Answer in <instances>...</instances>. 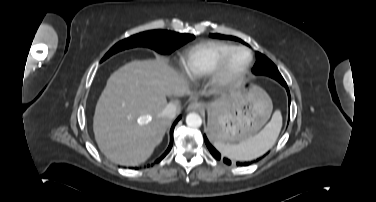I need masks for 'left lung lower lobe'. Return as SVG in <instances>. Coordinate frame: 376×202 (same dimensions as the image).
Masks as SVG:
<instances>
[{"label": "left lung lower lobe", "mask_w": 376, "mask_h": 202, "mask_svg": "<svg viewBox=\"0 0 376 202\" xmlns=\"http://www.w3.org/2000/svg\"><path fill=\"white\" fill-rule=\"evenodd\" d=\"M285 88H286V90H287V93H288V97H289V106H290V92H289V89H288V87H287V84H286V82H283V83H281ZM204 140H205V143H206V145H207V147H208V149H209V151H210V153L212 154V156L215 158V159H217V160H219L220 158H221V155H220V153L210 144V142H209V140L207 139V137L204 135ZM261 158H258L257 160H255V161H250V162H238L237 163V165H239V166H248V165H250V164H252V163H254V162H256V161H258V160H260ZM223 161L226 163V164H231V162H230V160L229 159H227V158H224L223 159Z\"/></svg>", "instance_id": "1"}]
</instances>
